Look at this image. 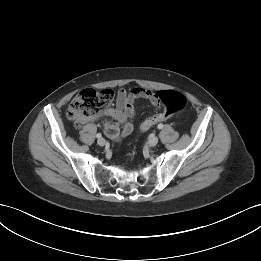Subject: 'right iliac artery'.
I'll return each mask as SVG.
<instances>
[{
    "label": "right iliac artery",
    "mask_w": 261,
    "mask_h": 261,
    "mask_svg": "<svg viewBox=\"0 0 261 261\" xmlns=\"http://www.w3.org/2000/svg\"><path fill=\"white\" fill-rule=\"evenodd\" d=\"M101 136H102L101 133H98V134L96 135L97 138H101Z\"/></svg>",
    "instance_id": "right-iliac-artery-1"
}]
</instances>
